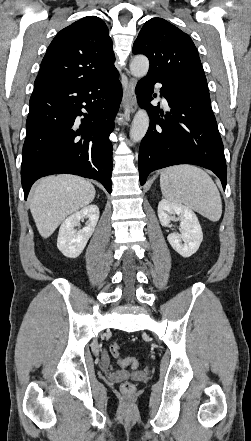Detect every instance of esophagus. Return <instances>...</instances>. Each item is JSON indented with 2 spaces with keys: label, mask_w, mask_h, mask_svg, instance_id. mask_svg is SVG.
Returning a JSON list of instances; mask_svg holds the SVG:
<instances>
[{
  "label": "esophagus",
  "mask_w": 251,
  "mask_h": 441,
  "mask_svg": "<svg viewBox=\"0 0 251 441\" xmlns=\"http://www.w3.org/2000/svg\"><path fill=\"white\" fill-rule=\"evenodd\" d=\"M137 80L134 77H129L128 85L125 89V93L123 96L122 107L124 110H128L130 113H135L137 109L136 95H135V87Z\"/></svg>",
  "instance_id": "esophagus-1"
}]
</instances>
